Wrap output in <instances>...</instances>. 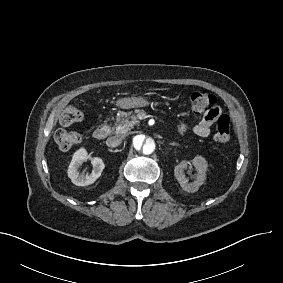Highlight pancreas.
I'll use <instances>...</instances> for the list:
<instances>
[{"instance_id": "1", "label": "pancreas", "mask_w": 283, "mask_h": 283, "mask_svg": "<svg viewBox=\"0 0 283 283\" xmlns=\"http://www.w3.org/2000/svg\"><path fill=\"white\" fill-rule=\"evenodd\" d=\"M135 113H138V110L135 111ZM138 125V119L135 116V114H132V112H121L119 116L116 117V121L114 123V126L112 127V130L116 134H126L128 131H130L133 127ZM176 130L177 133L180 135H185L186 127L182 124L181 121H178L176 124ZM189 141H191L190 138H187Z\"/></svg>"}]
</instances>
